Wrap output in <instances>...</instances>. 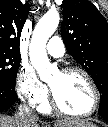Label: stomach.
I'll use <instances>...</instances> for the list:
<instances>
[{"label":"stomach","mask_w":108,"mask_h":127,"mask_svg":"<svg viewBox=\"0 0 108 127\" xmlns=\"http://www.w3.org/2000/svg\"><path fill=\"white\" fill-rule=\"evenodd\" d=\"M82 127H97L95 124L89 125V126H82Z\"/></svg>","instance_id":"1"}]
</instances>
